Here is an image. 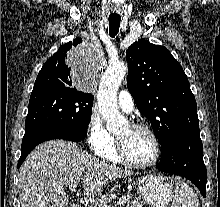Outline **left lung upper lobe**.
Returning a JSON list of instances; mask_svg holds the SVG:
<instances>
[{
    "label": "left lung upper lobe",
    "instance_id": "left-lung-upper-lobe-1",
    "mask_svg": "<svg viewBox=\"0 0 220 207\" xmlns=\"http://www.w3.org/2000/svg\"><path fill=\"white\" fill-rule=\"evenodd\" d=\"M126 59L128 90L161 146L178 132L199 126L187 76L167 48L140 39L128 48Z\"/></svg>",
    "mask_w": 220,
    "mask_h": 207
}]
</instances>
